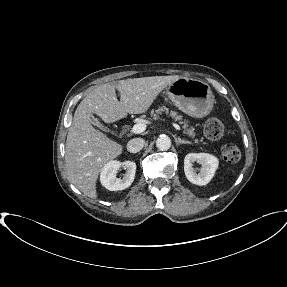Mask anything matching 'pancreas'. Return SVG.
I'll return each mask as SVG.
<instances>
[{"label":"pancreas","instance_id":"obj_1","mask_svg":"<svg viewBox=\"0 0 287 287\" xmlns=\"http://www.w3.org/2000/svg\"><path fill=\"white\" fill-rule=\"evenodd\" d=\"M163 112H165L166 114H169L172 118L175 119V121H179V123L182 125L183 129H184V133L191 136V137H195V133H194V128L190 127L188 124V121L183 120L182 116L178 115L177 112L175 111H169L168 108L166 107H159L157 110H152L151 111V115L153 116V119H157L159 114H162ZM195 142H198L197 139H195Z\"/></svg>","mask_w":287,"mask_h":287}]
</instances>
